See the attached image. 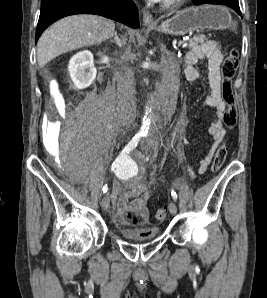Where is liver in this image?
Returning a JSON list of instances; mask_svg holds the SVG:
<instances>
[{
	"label": "liver",
	"mask_w": 267,
	"mask_h": 298,
	"mask_svg": "<svg viewBox=\"0 0 267 298\" xmlns=\"http://www.w3.org/2000/svg\"><path fill=\"white\" fill-rule=\"evenodd\" d=\"M113 21L96 15L65 17L47 29L37 43L40 67L57 56L85 46H93L114 36Z\"/></svg>",
	"instance_id": "obj_1"
}]
</instances>
